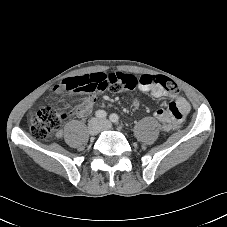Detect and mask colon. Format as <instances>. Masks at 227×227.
I'll return each instance as SVG.
<instances>
[{
	"label": "colon",
	"mask_w": 227,
	"mask_h": 227,
	"mask_svg": "<svg viewBox=\"0 0 227 227\" xmlns=\"http://www.w3.org/2000/svg\"><path fill=\"white\" fill-rule=\"evenodd\" d=\"M109 75L110 82L107 84V90L114 93L132 90L140 85H160L172 94L178 91L177 85L166 76L143 75L138 78L120 72L110 73ZM68 106V101L63 100L58 107H44L35 113L30 119L33 136L37 139H45L49 134L59 129L69 114Z\"/></svg>",
	"instance_id": "5ec220e1"
}]
</instances>
